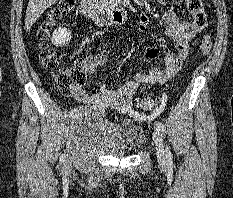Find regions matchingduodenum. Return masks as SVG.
<instances>
[{
  "instance_id": "duodenum-1",
  "label": "duodenum",
  "mask_w": 233,
  "mask_h": 198,
  "mask_svg": "<svg viewBox=\"0 0 233 198\" xmlns=\"http://www.w3.org/2000/svg\"><path fill=\"white\" fill-rule=\"evenodd\" d=\"M79 11L98 25L123 24L127 21V11L121 8L104 9L94 0H80Z\"/></svg>"
}]
</instances>
